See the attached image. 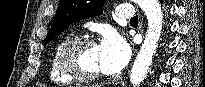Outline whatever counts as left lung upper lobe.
Returning <instances> with one entry per match:
<instances>
[{"instance_id":"obj_1","label":"left lung upper lobe","mask_w":205,"mask_h":87,"mask_svg":"<svg viewBox=\"0 0 205 87\" xmlns=\"http://www.w3.org/2000/svg\"><path fill=\"white\" fill-rule=\"evenodd\" d=\"M104 3L105 0H60L44 45L72 23L102 14Z\"/></svg>"}]
</instances>
